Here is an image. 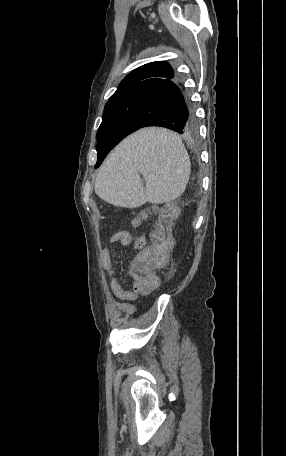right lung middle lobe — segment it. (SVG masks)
Masks as SVG:
<instances>
[{"instance_id": "obj_1", "label": "right lung middle lobe", "mask_w": 286, "mask_h": 456, "mask_svg": "<svg viewBox=\"0 0 286 456\" xmlns=\"http://www.w3.org/2000/svg\"><path fill=\"white\" fill-rule=\"evenodd\" d=\"M128 105L124 98L108 102L105 105L103 120L97 131V163L99 167L109 151L124 137L132 133Z\"/></svg>"}]
</instances>
